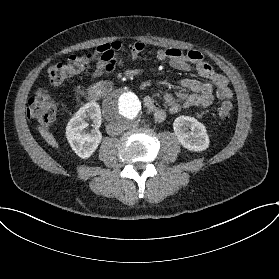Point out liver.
Segmentation results:
<instances>
[{
  "label": "liver",
  "mask_w": 279,
  "mask_h": 279,
  "mask_svg": "<svg viewBox=\"0 0 279 279\" xmlns=\"http://www.w3.org/2000/svg\"><path fill=\"white\" fill-rule=\"evenodd\" d=\"M39 132H40L41 136L45 139V141L49 145H51L54 148H58L59 147V145L56 142L54 136L50 132L44 130L43 128H39Z\"/></svg>",
  "instance_id": "6515ba94"
}]
</instances>
